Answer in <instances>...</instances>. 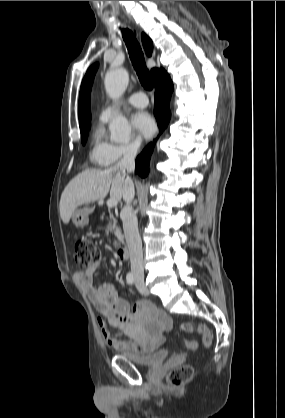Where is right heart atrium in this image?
Masks as SVG:
<instances>
[{
	"label": "right heart atrium",
	"instance_id": "right-heart-atrium-1",
	"mask_svg": "<svg viewBox=\"0 0 285 418\" xmlns=\"http://www.w3.org/2000/svg\"><path fill=\"white\" fill-rule=\"evenodd\" d=\"M140 151V143L134 139L123 144H115L110 151L109 165L118 164L121 161L130 159Z\"/></svg>",
	"mask_w": 285,
	"mask_h": 418
}]
</instances>
